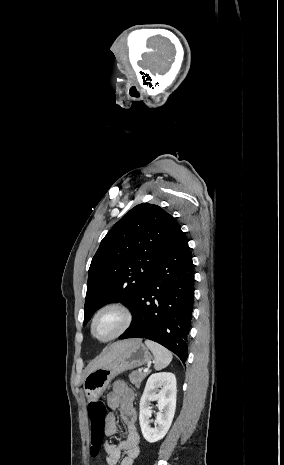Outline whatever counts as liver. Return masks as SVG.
<instances>
[{"instance_id": "6515ba94", "label": "liver", "mask_w": 284, "mask_h": 465, "mask_svg": "<svg viewBox=\"0 0 284 465\" xmlns=\"http://www.w3.org/2000/svg\"><path fill=\"white\" fill-rule=\"evenodd\" d=\"M140 341L141 339H137V341L136 339H131V341H118V343H114L109 353H106L103 357H99V359H94L88 369V375L89 373H92V371H96V369H100V367H104V365H108V363L114 361V359L118 357L119 353H123V351H125L131 343H140Z\"/></svg>"}]
</instances>
